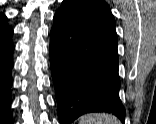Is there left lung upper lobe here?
Wrapping results in <instances>:
<instances>
[{
	"label": "left lung upper lobe",
	"instance_id": "5c2ea615",
	"mask_svg": "<svg viewBox=\"0 0 156 124\" xmlns=\"http://www.w3.org/2000/svg\"><path fill=\"white\" fill-rule=\"evenodd\" d=\"M80 6L84 7L87 11H90L104 20H107L111 24L115 25L114 17L110 11L108 4L104 0H74Z\"/></svg>",
	"mask_w": 156,
	"mask_h": 124
}]
</instances>
